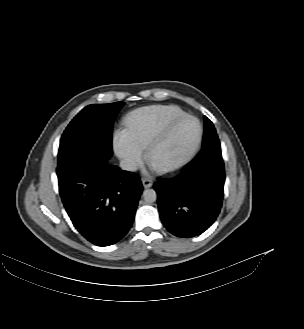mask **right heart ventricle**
<instances>
[{"label": "right heart ventricle", "mask_w": 304, "mask_h": 329, "mask_svg": "<svg viewBox=\"0 0 304 329\" xmlns=\"http://www.w3.org/2000/svg\"><path fill=\"white\" fill-rule=\"evenodd\" d=\"M184 114H186L185 111L176 105L144 107L128 117L127 131L135 143L144 150L173 119Z\"/></svg>", "instance_id": "e07e8e85"}]
</instances>
